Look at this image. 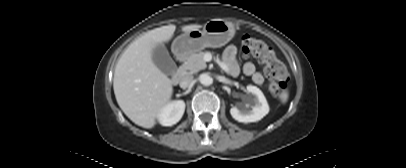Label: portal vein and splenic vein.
<instances>
[{
  "label": "portal vein and splenic vein",
  "instance_id": "portal-vein-and-splenic-vein-1",
  "mask_svg": "<svg viewBox=\"0 0 406 168\" xmlns=\"http://www.w3.org/2000/svg\"><path fill=\"white\" fill-rule=\"evenodd\" d=\"M218 64L224 71H228V67L223 62L219 61Z\"/></svg>",
  "mask_w": 406,
  "mask_h": 168
}]
</instances>
